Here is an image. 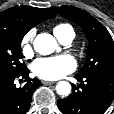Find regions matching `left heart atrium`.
Segmentation results:
<instances>
[{"label": "left heart atrium", "instance_id": "1", "mask_svg": "<svg viewBox=\"0 0 114 114\" xmlns=\"http://www.w3.org/2000/svg\"><path fill=\"white\" fill-rule=\"evenodd\" d=\"M75 68L76 62L74 58L68 54L38 58L31 66L33 73L37 77L45 80L60 79L73 72Z\"/></svg>", "mask_w": 114, "mask_h": 114}]
</instances>
